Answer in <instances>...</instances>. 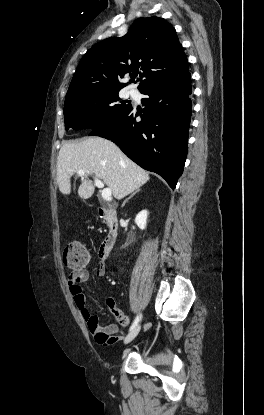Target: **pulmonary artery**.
Segmentation results:
<instances>
[{
  "mask_svg": "<svg viewBox=\"0 0 264 415\" xmlns=\"http://www.w3.org/2000/svg\"><path fill=\"white\" fill-rule=\"evenodd\" d=\"M129 94H130V95H131V94H133V91H132V90H130V91H129Z\"/></svg>",
  "mask_w": 264,
  "mask_h": 415,
  "instance_id": "obj_1",
  "label": "pulmonary artery"
}]
</instances>
